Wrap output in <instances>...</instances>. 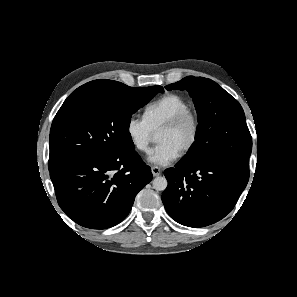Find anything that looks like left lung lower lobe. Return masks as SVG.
<instances>
[{
	"label": "left lung lower lobe",
	"mask_w": 297,
	"mask_h": 297,
	"mask_svg": "<svg viewBox=\"0 0 297 297\" xmlns=\"http://www.w3.org/2000/svg\"><path fill=\"white\" fill-rule=\"evenodd\" d=\"M164 174L168 180L162 194L165 209L176 222L189 227L224 218L249 180V170L217 160L179 161Z\"/></svg>",
	"instance_id": "0a47b994"
}]
</instances>
